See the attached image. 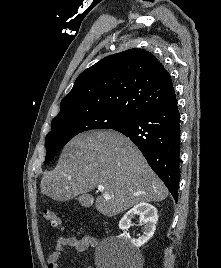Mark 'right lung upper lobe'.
Here are the masks:
<instances>
[{
    "label": "right lung upper lobe",
    "mask_w": 221,
    "mask_h": 268,
    "mask_svg": "<svg viewBox=\"0 0 221 268\" xmlns=\"http://www.w3.org/2000/svg\"><path fill=\"white\" fill-rule=\"evenodd\" d=\"M176 101L170 75L150 52L130 49L83 71L60 104V114L104 109L134 118Z\"/></svg>",
    "instance_id": "cb5924a9"
}]
</instances>
